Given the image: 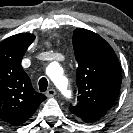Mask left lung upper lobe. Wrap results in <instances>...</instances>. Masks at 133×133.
<instances>
[{"label": "left lung upper lobe", "mask_w": 133, "mask_h": 133, "mask_svg": "<svg viewBox=\"0 0 133 133\" xmlns=\"http://www.w3.org/2000/svg\"><path fill=\"white\" fill-rule=\"evenodd\" d=\"M73 48L78 62V103L70 111L85 122L106 115L116 101L121 85V67L111 46L98 34L77 28Z\"/></svg>", "instance_id": "1"}]
</instances>
